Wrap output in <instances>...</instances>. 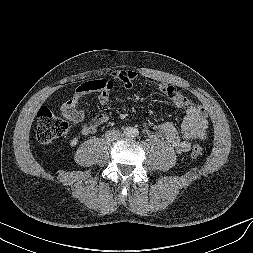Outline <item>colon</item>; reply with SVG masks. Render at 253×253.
<instances>
[{
    "label": "colon",
    "instance_id": "5ec220e1",
    "mask_svg": "<svg viewBox=\"0 0 253 253\" xmlns=\"http://www.w3.org/2000/svg\"><path fill=\"white\" fill-rule=\"evenodd\" d=\"M68 131V123L56 116L48 107H41L37 112L36 138L41 144L51 143L64 136ZM203 149L200 145L192 148L191 156L194 159L201 157Z\"/></svg>",
    "mask_w": 253,
    "mask_h": 253
}]
</instances>
